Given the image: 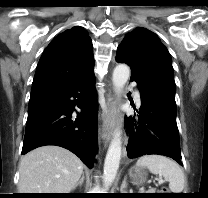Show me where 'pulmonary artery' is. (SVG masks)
Returning a JSON list of instances; mask_svg holds the SVG:
<instances>
[{"label": "pulmonary artery", "mask_w": 208, "mask_h": 198, "mask_svg": "<svg viewBox=\"0 0 208 198\" xmlns=\"http://www.w3.org/2000/svg\"><path fill=\"white\" fill-rule=\"evenodd\" d=\"M134 98H135V101L137 102V104H140L141 98H140V92L138 89L134 90Z\"/></svg>", "instance_id": "obj_1"}]
</instances>
